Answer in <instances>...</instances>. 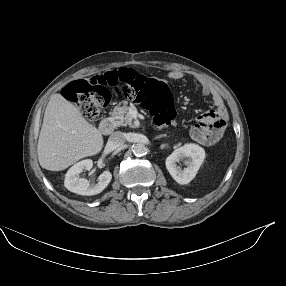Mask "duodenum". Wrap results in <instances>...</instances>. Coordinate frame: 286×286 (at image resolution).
Here are the masks:
<instances>
[{
	"label": "duodenum",
	"instance_id": "duodenum-1",
	"mask_svg": "<svg viewBox=\"0 0 286 286\" xmlns=\"http://www.w3.org/2000/svg\"><path fill=\"white\" fill-rule=\"evenodd\" d=\"M114 129H115L114 121L111 118L106 117L102 121L101 126H100L101 133L105 136H109L114 132Z\"/></svg>",
	"mask_w": 286,
	"mask_h": 286
}]
</instances>
